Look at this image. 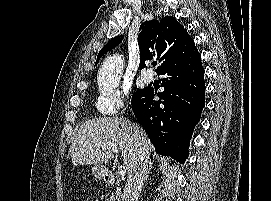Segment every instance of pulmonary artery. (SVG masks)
<instances>
[{
    "label": "pulmonary artery",
    "mask_w": 271,
    "mask_h": 201,
    "mask_svg": "<svg viewBox=\"0 0 271 201\" xmlns=\"http://www.w3.org/2000/svg\"><path fill=\"white\" fill-rule=\"evenodd\" d=\"M141 79L142 81H144L145 83H149L153 80V74L151 71H144L141 75Z\"/></svg>",
    "instance_id": "e3ab8cb5"
}]
</instances>
